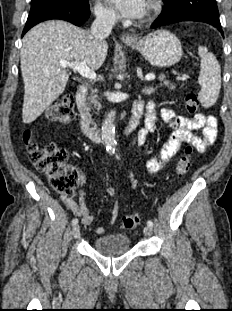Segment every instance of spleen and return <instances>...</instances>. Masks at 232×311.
I'll return each instance as SVG.
<instances>
[{
    "mask_svg": "<svg viewBox=\"0 0 232 311\" xmlns=\"http://www.w3.org/2000/svg\"><path fill=\"white\" fill-rule=\"evenodd\" d=\"M201 58L198 98L203 107L208 108L217 101L221 88V68L213 53L204 46L198 48Z\"/></svg>",
    "mask_w": 232,
    "mask_h": 311,
    "instance_id": "1",
    "label": "spleen"
}]
</instances>
